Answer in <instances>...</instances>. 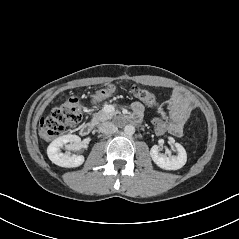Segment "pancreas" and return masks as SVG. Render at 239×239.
Instances as JSON below:
<instances>
[{
	"instance_id": "obj_1",
	"label": "pancreas",
	"mask_w": 239,
	"mask_h": 239,
	"mask_svg": "<svg viewBox=\"0 0 239 239\" xmlns=\"http://www.w3.org/2000/svg\"><path fill=\"white\" fill-rule=\"evenodd\" d=\"M113 116L114 113H106L104 110H100L94 115L92 122L98 124L100 122H104L108 119H111Z\"/></svg>"
}]
</instances>
